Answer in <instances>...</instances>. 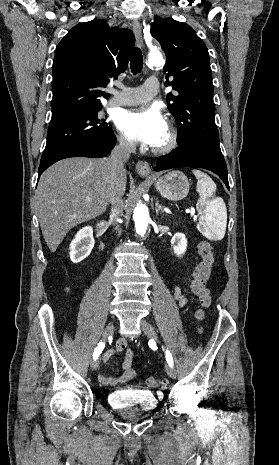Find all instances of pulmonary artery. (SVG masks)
<instances>
[{
	"label": "pulmonary artery",
	"instance_id": "e3ab8cb5",
	"mask_svg": "<svg viewBox=\"0 0 279 465\" xmlns=\"http://www.w3.org/2000/svg\"><path fill=\"white\" fill-rule=\"evenodd\" d=\"M158 89V80L155 77H150L142 86L115 91L110 103L116 106L145 103L157 94Z\"/></svg>",
	"mask_w": 279,
	"mask_h": 465
}]
</instances>
